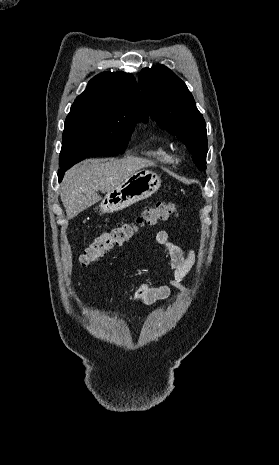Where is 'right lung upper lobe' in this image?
Returning a JSON list of instances; mask_svg holds the SVG:
<instances>
[{
	"label": "right lung upper lobe",
	"instance_id": "right-lung-upper-lobe-1",
	"mask_svg": "<svg viewBox=\"0 0 279 465\" xmlns=\"http://www.w3.org/2000/svg\"><path fill=\"white\" fill-rule=\"evenodd\" d=\"M121 119L147 122V110L132 74L105 72L89 81L75 99L65 128L99 126Z\"/></svg>",
	"mask_w": 279,
	"mask_h": 465
}]
</instances>
